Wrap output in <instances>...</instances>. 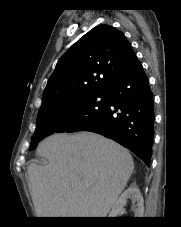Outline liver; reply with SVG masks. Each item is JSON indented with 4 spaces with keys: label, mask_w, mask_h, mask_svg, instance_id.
<instances>
[{
    "label": "liver",
    "mask_w": 181,
    "mask_h": 227,
    "mask_svg": "<svg viewBox=\"0 0 181 227\" xmlns=\"http://www.w3.org/2000/svg\"><path fill=\"white\" fill-rule=\"evenodd\" d=\"M37 153L48 159L28 167L38 217H106L134 170L126 148L92 132L52 135Z\"/></svg>",
    "instance_id": "6515ba94"
}]
</instances>
